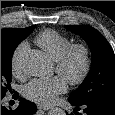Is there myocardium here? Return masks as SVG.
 <instances>
[{
	"mask_svg": "<svg viewBox=\"0 0 115 115\" xmlns=\"http://www.w3.org/2000/svg\"><path fill=\"white\" fill-rule=\"evenodd\" d=\"M76 55H79L82 59V68L78 73L71 74L69 66ZM91 67V51L87 45L82 43L70 44L60 58L55 61L56 72L70 85L81 84L90 73Z\"/></svg>",
	"mask_w": 115,
	"mask_h": 115,
	"instance_id": "obj_1",
	"label": "myocardium"
}]
</instances>
